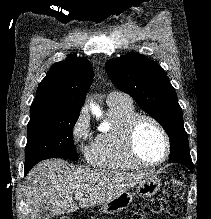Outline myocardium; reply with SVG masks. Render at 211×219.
Listing matches in <instances>:
<instances>
[{
	"label": "myocardium",
	"instance_id": "1",
	"mask_svg": "<svg viewBox=\"0 0 211 219\" xmlns=\"http://www.w3.org/2000/svg\"><path fill=\"white\" fill-rule=\"evenodd\" d=\"M143 121H149L153 123L158 128L164 139L165 149H164L163 157L158 162L155 163H147L143 161L137 152L136 132L140 123ZM124 142H125V149L128 157L137 166L142 168H158L162 166L168 160L171 153V142L167 130L157 118L148 114H137L128 122L125 129Z\"/></svg>",
	"mask_w": 211,
	"mask_h": 219
}]
</instances>
